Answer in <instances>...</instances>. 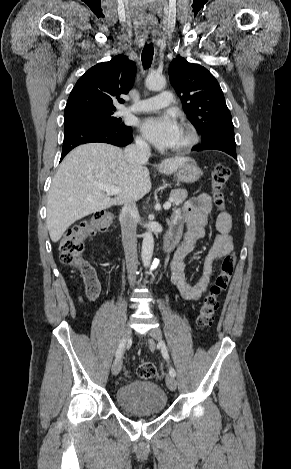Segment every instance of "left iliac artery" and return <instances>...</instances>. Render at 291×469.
I'll return each mask as SVG.
<instances>
[{
    "label": "left iliac artery",
    "instance_id": "44dca946",
    "mask_svg": "<svg viewBox=\"0 0 291 469\" xmlns=\"http://www.w3.org/2000/svg\"><path fill=\"white\" fill-rule=\"evenodd\" d=\"M160 346H161V352H162V355L163 357L168 361L169 360V354H168V350L166 348V345L164 342H161L160 343ZM169 374L173 377L176 376V371L173 367L170 366L169 368Z\"/></svg>",
    "mask_w": 291,
    "mask_h": 469
}]
</instances>
